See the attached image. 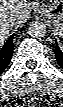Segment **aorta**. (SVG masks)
Wrapping results in <instances>:
<instances>
[{
    "instance_id": "obj_1",
    "label": "aorta",
    "mask_w": 63,
    "mask_h": 107,
    "mask_svg": "<svg viewBox=\"0 0 63 107\" xmlns=\"http://www.w3.org/2000/svg\"><path fill=\"white\" fill-rule=\"evenodd\" d=\"M47 28L43 22L33 21L28 28V34L36 39L43 38L46 34Z\"/></svg>"
}]
</instances>
